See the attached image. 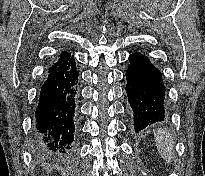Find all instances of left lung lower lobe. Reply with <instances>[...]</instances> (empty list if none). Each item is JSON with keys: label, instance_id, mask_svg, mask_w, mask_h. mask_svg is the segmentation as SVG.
<instances>
[{"label": "left lung lower lobe", "instance_id": "left-lung-lower-lobe-1", "mask_svg": "<svg viewBox=\"0 0 205 176\" xmlns=\"http://www.w3.org/2000/svg\"><path fill=\"white\" fill-rule=\"evenodd\" d=\"M126 80L135 131L139 132L155 122L163 121L167 112L162 74L145 55L139 52L130 55Z\"/></svg>", "mask_w": 205, "mask_h": 176}]
</instances>
